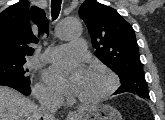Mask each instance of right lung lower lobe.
I'll use <instances>...</instances> for the list:
<instances>
[{
	"instance_id": "98d812e1",
	"label": "right lung lower lobe",
	"mask_w": 165,
	"mask_h": 120,
	"mask_svg": "<svg viewBox=\"0 0 165 120\" xmlns=\"http://www.w3.org/2000/svg\"><path fill=\"white\" fill-rule=\"evenodd\" d=\"M0 85L9 86L11 88L16 89L24 95H29L31 93V89L29 85L15 82V81H0Z\"/></svg>"
}]
</instances>
